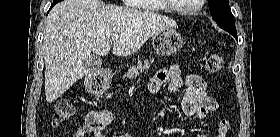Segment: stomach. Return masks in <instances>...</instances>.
I'll list each match as a JSON object with an SVG mask.
<instances>
[{
  "label": "stomach",
  "instance_id": "obj_1",
  "mask_svg": "<svg viewBox=\"0 0 280 137\" xmlns=\"http://www.w3.org/2000/svg\"><path fill=\"white\" fill-rule=\"evenodd\" d=\"M183 44L182 36L173 28H165L152 36L153 48L157 54L162 56L175 55ZM86 87L93 93L101 91L97 90L98 85L86 83Z\"/></svg>",
  "mask_w": 280,
  "mask_h": 137
}]
</instances>
